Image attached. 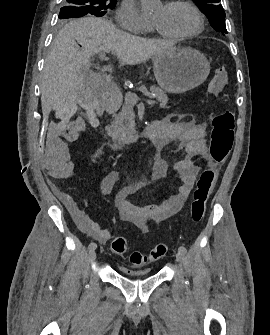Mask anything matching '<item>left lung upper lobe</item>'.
<instances>
[{
	"label": "left lung upper lobe",
	"mask_w": 270,
	"mask_h": 335,
	"mask_svg": "<svg viewBox=\"0 0 270 335\" xmlns=\"http://www.w3.org/2000/svg\"><path fill=\"white\" fill-rule=\"evenodd\" d=\"M198 8L208 18L211 26L217 32L227 33L225 25V12L220 0H193Z\"/></svg>",
	"instance_id": "left-lung-upper-lobe-1"
}]
</instances>
